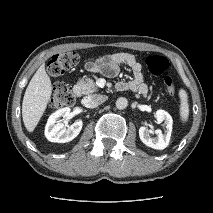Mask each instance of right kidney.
<instances>
[{
	"mask_svg": "<svg viewBox=\"0 0 213 213\" xmlns=\"http://www.w3.org/2000/svg\"><path fill=\"white\" fill-rule=\"evenodd\" d=\"M70 111V108L65 107L50 115L45 126V136L49 141L65 143L72 141L78 136L82 129V120H77L68 129L59 121L61 117L67 118L70 115Z\"/></svg>",
	"mask_w": 213,
	"mask_h": 213,
	"instance_id": "obj_1",
	"label": "right kidney"
}]
</instances>
